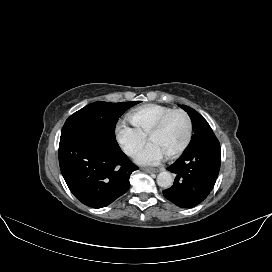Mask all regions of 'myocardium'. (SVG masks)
Masks as SVG:
<instances>
[{"label": "myocardium", "mask_w": 272, "mask_h": 272, "mask_svg": "<svg viewBox=\"0 0 272 272\" xmlns=\"http://www.w3.org/2000/svg\"><path fill=\"white\" fill-rule=\"evenodd\" d=\"M175 114H182L187 122V134L184 142L180 145L179 148H177L174 152L166 155L168 159H175L178 156H180L186 148L189 146L192 135H193V122L192 118L189 115V113L183 109H173L169 111L168 113L164 114L159 120L153 125V127L148 132V139L150 140L151 136L157 132H159L167 123V121Z\"/></svg>", "instance_id": "1"}]
</instances>
